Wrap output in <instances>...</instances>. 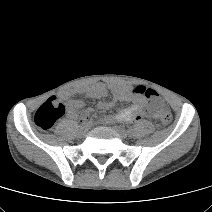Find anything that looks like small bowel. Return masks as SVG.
Here are the masks:
<instances>
[{
  "instance_id": "1",
  "label": "small bowel",
  "mask_w": 212,
  "mask_h": 212,
  "mask_svg": "<svg viewBox=\"0 0 212 212\" xmlns=\"http://www.w3.org/2000/svg\"><path fill=\"white\" fill-rule=\"evenodd\" d=\"M79 92L95 99H104L108 94H111V101L99 102L98 107L101 110L111 109L117 101L129 103L126 108L115 115L114 118L118 122L139 121L146 115L157 117L159 114L157 109L147 107V102L142 95L132 93V89L128 87L119 85L107 86L102 82H98L82 88ZM67 107V116L72 120H86L92 112L91 108H85L82 112H79L80 109L85 107V103L81 98H67ZM110 120V117L105 118V121Z\"/></svg>"
}]
</instances>
